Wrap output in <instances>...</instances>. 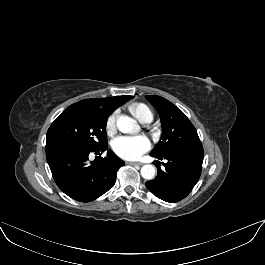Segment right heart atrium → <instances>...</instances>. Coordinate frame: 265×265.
<instances>
[{"instance_id":"d8ad5b80","label":"right heart atrium","mask_w":265,"mask_h":265,"mask_svg":"<svg viewBox=\"0 0 265 265\" xmlns=\"http://www.w3.org/2000/svg\"><path fill=\"white\" fill-rule=\"evenodd\" d=\"M116 128V112L111 113L105 122V129L107 134H112L114 133Z\"/></svg>"}]
</instances>
